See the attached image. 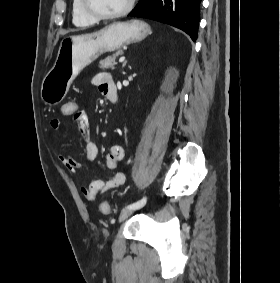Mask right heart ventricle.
Returning a JSON list of instances; mask_svg holds the SVG:
<instances>
[{
  "mask_svg": "<svg viewBox=\"0 0 280 283\" xmlns=\"http://www.w3.org/2000/svg\"><path fill=\"white\" fill-rule=\"evenodd\" d=\"M72 21L74 25L79 27L90 26L96 22L85 13L81 0H72Z\"/></svg>",
  "mask_w": 280,
  "mask_h": 283,
  "instance_id": "obj_1",
  "label": "right heart ventricle"
}]
</instances>
